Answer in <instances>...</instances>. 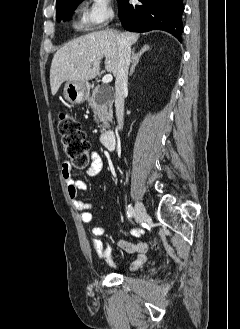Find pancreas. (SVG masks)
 <instances>
[{
    "mask_svg": "<svg viewBox=\"0 0 240 329\" xmlns=\"http://www.w3.org/2000/svg\"><path fill=\"white\" fill-rule=\"evenodd\" d=\"M89 106L93 109L94 119L97 124L101 122L99 128L101 132L110 128L109 122L112 120V105L113 99L110 95L106 96L102 92V88L97 86L93 91L92 95L87 97Z\"/></svg>",
    "mask_w": 240,
    "mask_h": 329,
    "instance_id": "obj_1",
    "label": "pancreas"
}]
</instances>
